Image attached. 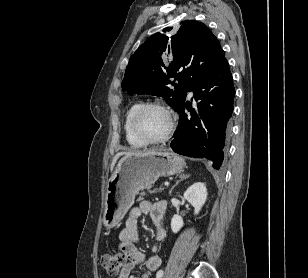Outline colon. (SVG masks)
Here are the masks:
<instances>
[{"label": "colon", "instance_id": "obj_1", "mask_svg": "<svg viewBox=\"0 0 308 278\" xmlns=\"http://www.w3.org/2000/svg\"><path fill=\"white\" fill-rule=\"evenodd\" d=\"M126 256L123 253H108L102 258V265L112 275L120 273L125 266Z\"/></svg>", "mask_w": 308, "mask_h": 278}]
</instances>
